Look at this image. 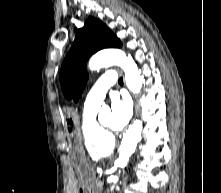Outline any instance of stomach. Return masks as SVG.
Returning a JSON list of instances; mask_svg holds the SVG:
<instances>
[{
  "instance_id": "stomach-1",
  "label": "stomach",
  "mask_w": 221,
  "mask_h": 193,
  "mask_svg": "<svg viewBox=\"0 0 221 193\" xmlns=\"http://www.w3.org/2000/svg\"><path fill=\"white\" fill-rule=\"evenodd\" d=\"M63 110L62 123L64 130H66L67 152L72 155L70 159V166L76 167L79 186L76 193H95L94 178H95V164L85 162L87 155L84 154V142H81L83 133H80V118L78 110L74 104H61Z\"/></svg>"
}]
</instances>
